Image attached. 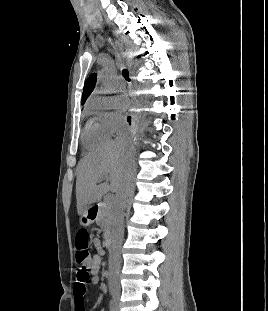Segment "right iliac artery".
<instances>
[{"mask_svg":"<svg viewBox=\"0 0 268 311\" xmlns=\"http://www.w3.org/2000/svg\"><path fill=\"white\" fill-rule=\"evenodd\" d=\"M110 311H117L114 301L111 299L109 302Z\"/></svg>","mask_w":268,"mask_h":311,"instance_id":"right-iliac-artery-1","label":"right iliac artery"}]
</instances>
